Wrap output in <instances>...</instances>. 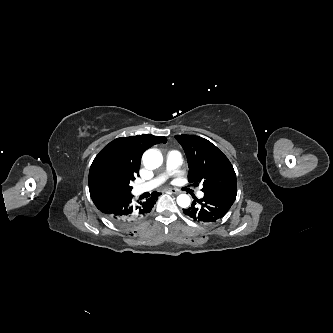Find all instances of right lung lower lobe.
Segmentation results:
<instances>
[{
	"label": "right lung lower lobe",
	"mask_w": 333,
	"mask_h": 333,
	"mask_svg": "<svg viewBox=\"0 0 333 333\" xmlns=\"http://www.w3.org/2000/svg\"><path fill=\"white\" fill-rule=\"evenodd\" d=\"M159 195L160 193L153 192L146 201L134 205L131 193L102 188H95L90 191V196L99 211L110 221L120 226H131L145 218L153 208Z\"/></svg>",
	"instance_id": "98d812e1"
}]
</instances>
